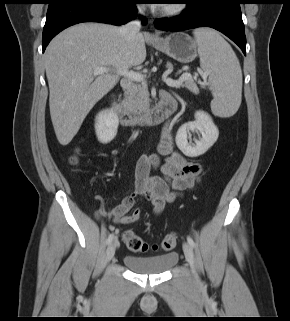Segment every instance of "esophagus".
I'll use <instances>...</instances> for the list:
<instances>
[{
    "label": "esophagus",
    "mask_w": 290,
    "mask_h": 321,
    "mask_svg": "<svg viewBox=\"0 0 290 321\" xmlns=\"http://www.w3.org/2000/svg\"><path fill=\"white\" fill-rule=\"evenodd\" d=\"M148 37H149L150 39H155V38H157V37H158V35H157V34L152 33V34H150Z\"/></svg>",
    "instance_id": "34e87169"
}]
</instances>
